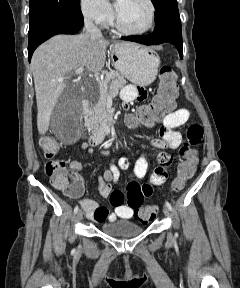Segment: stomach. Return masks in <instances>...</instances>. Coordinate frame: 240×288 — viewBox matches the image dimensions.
Masks as SVG:
<instances>
[{
    "label": "stomach",
    "mask_w": 240,
    "mask_h": 288,
    "mask_svg": "<svg viewBox=\"0 0 240 288\" xmlns=\"http://www.w3.org/2000/svg\"><path fill=\"white\" fill-rule=\"evenodd\" d=\"M111 60L114 67L135 85L151 84L158 73L160 58L149 47L117 42L111 49Z\"/></svg>",
    "instance_id": "obj_1"
}]
</instances>
